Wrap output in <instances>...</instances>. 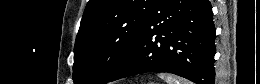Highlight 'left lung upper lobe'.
<instances>
[{"label": "left lung upper lobe", "instance_id": "5c2ea615", "mask_svg": "<svg viewBox=\"0 0 260 84\" xmlns=\"http://www.w3.org/2000/svg\"><path fill=\"white\" fill-rule=\"evenodd\" d=\"M156 0H89L74 47V84H106L140 37Z\"/></svg>", "mask_w": 260, "mask_h": 84}]
</instances>
